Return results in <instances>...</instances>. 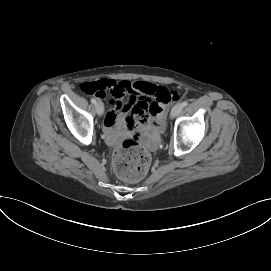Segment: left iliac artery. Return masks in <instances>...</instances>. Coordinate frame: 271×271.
Returning <instances> with one entry per match:
<instances>
[{
	"instance_id": "44dca946",
	"label": "left iliac artery",
	"mask_w": 271,
	"mask_h": 271,
	"mask_svg": "<svg viewBox=\"0 0 271 271\" xmlns=\"http://www.w3.org/2000/svg\"><path fill=\"white\" fill-rule=\"evenodd\" d=\"M187 105H188V101L182 102V106H183V107H185V106H187Z\"/></svg>"
}]
</instances>
